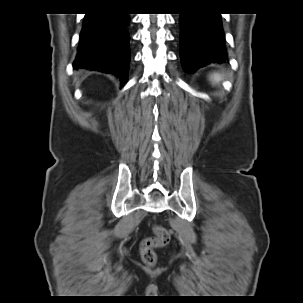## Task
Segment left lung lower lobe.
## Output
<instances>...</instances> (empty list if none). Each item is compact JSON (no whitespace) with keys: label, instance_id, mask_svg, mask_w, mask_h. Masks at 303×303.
<instances>
[{"label":"left lung lower lobe","instance_id":"0a47b994","mask_svg":"<svg viewBox=\"0 0 303 303\" xmlns=\"http://www.w3.org/2000/svg\"><path fill=\"white\" fill-rule=\"evenodd\" d=\"M179 22L180 55L186 72L227 60L219 13L180 14Z\"/></svg>","mask_w":303,"mask_h":303}]
</instances>
